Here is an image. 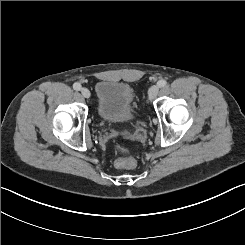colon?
Here are the masks:
<instances>
[{
  "mask_svg": "<svg viewBox=\"0 0 245 245\" xmlns=\"http://www.w3.org/2000/svg\"><path fill=\"white\" fill-rule=\"evenodd\" d=\"M117 150L122 152L124 149L117 146ZM116 166L123 169H132L136 166V160L133 157H123L116 160Z\"/></svg>",
  "mask_w": 245,
  "mask_h": 245,
  "instance_id": "colon-1",
  "label": "colon"
}]
</instances>
